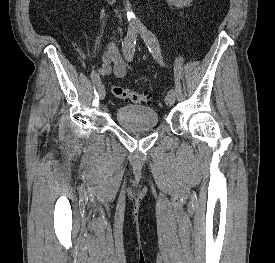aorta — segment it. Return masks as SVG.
I'll return each instance as SVG.
<instances>
[{
	"label": "aorta",
	"instance_id": "762f6f07",
	"mask_svg": "<svg viewBox=\"0 0 275 263\" xmlns=\"http://www.w3.org/2000/svg\"><path fill=\"white\" fill-rule=\"evenodd\" d=\"M125 10L127 13V19H128L129 25L136 27V28L143 29V24L141 23V21L138 19V17L134 13V11L128 1H126V3H125ZM147 34H148V36H151L149 33H147Z\"/></svg>",
	"mask_w": 275,
	"mask_h": 263
}]
</instances>
